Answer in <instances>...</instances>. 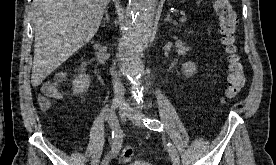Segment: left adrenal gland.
<instances>
[{
	"mask_svg": "<svg viewBox=\"0 0 276 165\" xmlns=\"http://www.w3.org/2000/svg\"><path fill=\"white\" fill-rule=\"evenodd\" d=\"M165 21L172 22V23L176 24V22L171 18L170 13H167V17H166Z\"/></svg>",
	"mask_w": 276,
	"mask_h": 165,
	"instance_id": "obj_1",
	"label": "left adrenal gland"
}]
</instances>
